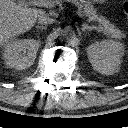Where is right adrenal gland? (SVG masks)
Listing matches in <instances>:
<instances>
[{
  "mask_svg": "<svg viewBox=\"0 0 128 128\" xmlns=\"http://www.w3.org/2000/svg\"><path fill=\"white\" fill-rule=\"evenodd\" d=\"M36 28H37V29H44V26L37 25Z\"/></svg>",
  "mask_w": 128,
  "mask_h": 128,
  "instance_id": "right-adrenal-gland-1",
  "label": "right adrenal gland"
}]
</instances>
